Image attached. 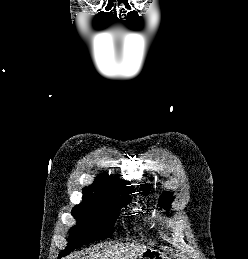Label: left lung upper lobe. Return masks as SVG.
I'll list each match as a JSON object with an SVG mask.
<instances>
[{
    "instance_id": "5c2ea615",
    "label": "left lung upper lobe",
    "mask_w": 248,
    "mask_h": 259,
    "mask_svg": "<svg viewBox=\"0 0 248 259\" xmlns=\"http://www.w3.org/2000/svg\"><path fill=\"white\" fill-rule=\"evenodd\" d=\"M142 187L141 191H144V194L149 193L148 184H140ZM173 196L172 194H168L167 192H164L159 199L160 206L162 208H165L166 210H169V204L172 202Z\"/></svg>"
}]
</instances>
